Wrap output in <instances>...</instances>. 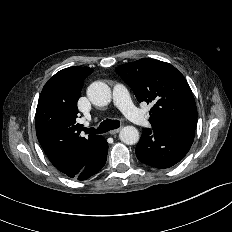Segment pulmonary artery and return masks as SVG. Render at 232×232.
Segmentation results:
<instances>
[{"mask_svg":"<svg viewBox=\"0 0 232 232\" xmlns=\"http://www.w3.org/2000/svg\"><path fill=\"white\" fill-rule=\"evenodd\" d=\"M113 99L115 105L124 113L131 121L138 125H147V117L139 111L132 103L127 89L117 84L113 90Z\"/></svg>","mask_w":232,"mask_h":232,"instance_id":"obj_1","label":"pulmonary artery"}]
</instances>
